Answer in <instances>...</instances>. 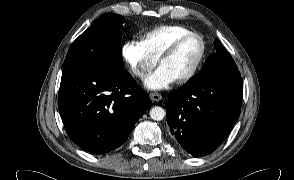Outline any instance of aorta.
I'll list each match as a JSON object with an SVG mask.
<instances>
[{
    "mask_svg": "<svg viewBox=\"0 0 294 180\" xmlns=\"http://www.w3.org/2000/svg\"><path fill=\"white\" fill-rule=\"evenodd\" d=\"M165 116V111L159 106H155L150 110V117L155 121H161Z\"/></svg>",
    "mask_w": 294,
    "mask_h": 180,
    "instance_id": "aorta-1",
    "label": "aorta"
}]
</instances>
